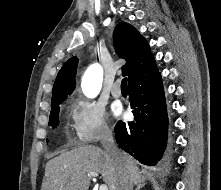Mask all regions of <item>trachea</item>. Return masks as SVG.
Returning a JSON list of instances; mask_svg holds the SVG:
<instances>
[{
    "instance_id": "1",
    "label": "trachea",
    "mask_w": 221,
    "mask_h": 190,
    "mask_svg": "<svg viewBox=\"0 0 221 190\" xmlns=\"http://www.w3.org/2000/svg\"><path fill=\"white\" fill-rule=\"evenodd\" d=\"M121 89L127 90V78H123V80L121 81Z\"/></svg>"
}]
</instances>
